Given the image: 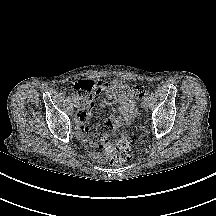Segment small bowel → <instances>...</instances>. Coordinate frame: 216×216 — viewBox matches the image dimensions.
I'll return each mask as SVG.
<instances>
[{
  "label": "small bowel",
  "mask_w": 216,
  "mask_h": 216,
  "mask_svg": "<svg viewBox=\"0 0 216 216\" xmlns=\"http://www.w3.org/2000/svg\"><path fill=\"white\" fill-rule=\"evenodd\" d=\"M101 89L106 93L108 99L100 102L101 107H106L111 101L117 114H113L107 118L112 127L117 128L128 125L136 114V105L130 93V86L123 81L115 80L112 82L99 83ZM94 106L93 101L83 100L80 103V109L75 115L76 133L81 139L96 144L100 134L98 129H89L85 124L88 121L91 110Z\"/></svg>",
  "instance_id": "obj_1"
}]
</instances>
